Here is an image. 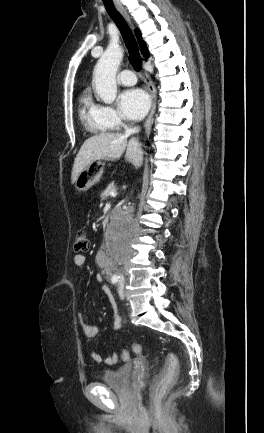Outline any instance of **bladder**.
<instances>
[{
  "label": "bladder",
  "instance_id": "obj_1",
  "mask_svg": "<svg viewBox=\"0 0 264 433\" xmlns=\"http://www.w3.org/2000/svg\"><path fill=\"white\" fill-rule=\"evenodd\" d=\"M130 372L129 366L116 370L107 369L103 372L100 383L113 391L127 393L130 390Z\"/></svg>",
  "mask_w": 264,
  "mask_h": 433
}]
</instances>
